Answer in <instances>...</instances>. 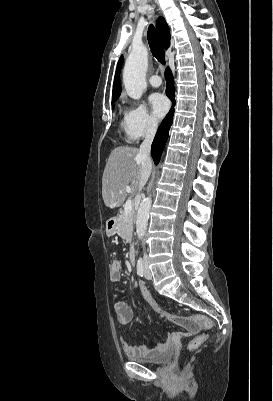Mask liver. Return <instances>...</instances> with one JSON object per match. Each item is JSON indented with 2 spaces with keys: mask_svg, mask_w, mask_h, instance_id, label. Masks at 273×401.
Wrapping results in <instances>:
<instances>
[{
  "mask_svg": "<svg viewBox=\"0 0 273 401\" xmlns=\"http://www.w3.org/2000/svg\"><path fill=\"white\" fill-rule=\"evenodd\" d=\"M141 170L138 148L117 146L112 150L102 176V196L106 207H121L126 198V186H131V196L136 194Z\"/></svg>",
  "mask_w": 273,
  "mask_h": 401,
  "instance_id": "1",
  "label": "liver"
}]
</instances>
